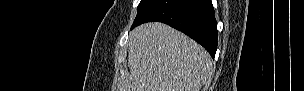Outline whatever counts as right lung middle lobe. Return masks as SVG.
I'll return each instance as SVG.
<instances>
[{
  "instance_id": "dd1d6c3e",
  "label": "right lung middle lobe",
  "mask_w": 304,
  "mask_h": 91,
  "mask_svg": "<svg viewBox=\"0 0 304 91\" xmlns=\"http://www.w3.org/2000/svg\"><path fill=\"white\" fill-rule=\"evenodd\" d=\"M149 2H150V0H141L140 4L138 5V8H137V16L149 4Z\"/></svg>"
}]
</instances>
